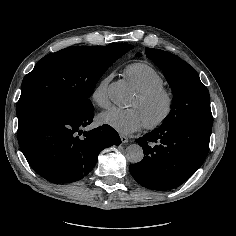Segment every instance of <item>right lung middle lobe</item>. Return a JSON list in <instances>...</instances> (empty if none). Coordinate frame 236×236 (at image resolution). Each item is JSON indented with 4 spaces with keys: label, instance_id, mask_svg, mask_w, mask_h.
<instances>
[{
    "label": "right lung middle lobe",
    "instance_id": "obj_1",
    "mask_svg": "<svg viewBox=\"0 0 236 236\" xmlns=\"http://www.w3.org/2000/svg\"><path fill=\"white\" fill-rule=\"evenodd\" d=\"M133 48L126 43L75 46L43 57L22 82L18 125L51 112L81 114L93 110L89 97L99 78Z\"/></svg>",
    "mask_w": 236,
    "mask_h": 236
}]
</instances>
